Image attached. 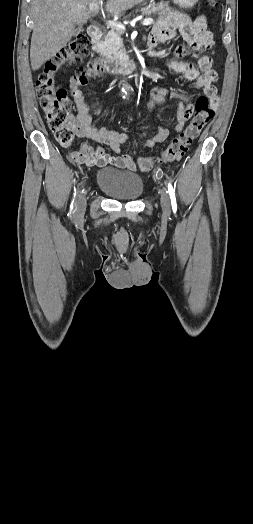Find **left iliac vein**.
<instances>
[{"label":"left iliac vein","mask_w":253,"mask_h":524,"mask_svg":"<svg viewBox=\"0 0 253 524\" xmlns=\"http://www.w3.org/2000/svg\"><path fill=\"white\" fill-rule=\"evenodd\" d=\"M161 207L164 212V214L168 215L170 213V198L168 193L165 190H162L161 192Z\"/></svg>","instance_id":"1"}]
</instances>
